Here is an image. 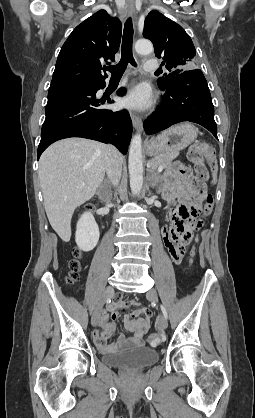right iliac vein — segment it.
I'll use <instances>...</instances> for the list:
<instances>
[{
    "mask_svg": "<svg viewBox=\"0 0 255 418\" xmlns=\"http://www.w3.org/2000/svg\"><path fill=\"white\" fill-rule=\"evenodd\" d=\"M113 293H114V289L111 286L106 287V289L104 290L103 295H102V297H101V299H100V301H99V303H98V305H97V307H96V309H95V311L92 315V318H91V323H92L93 326H96L98 324V321H99L100 316H101V311H102L103 305L105 304V302L108 299H110L112 297Z\"/></svg>",
    "mask_w": 255,
    "mask_h": 418,
    "instance_id": "obj_1",
    "label": "right iliac vein"
}]
</instances>
